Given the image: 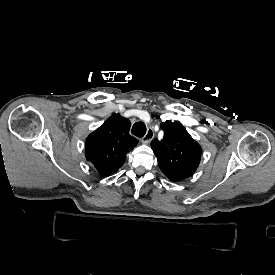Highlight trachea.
<instances>
[{"label": "trachea", "mask_w": 275, "mask_h": 275, "mask_svg": "<svg viewBox=\"0 0 275 275\" xmlns=\"http://www.w3.org/2000/svg\"><path fill=\"white\" fill-rule=\"evenodd\" d=\"M146 125L139 121V122H136L134 123L133 127H132V134L137 136V137H143L146 133Z\"/></svg>", "instance_id": "obj_1"}]
</instances>
